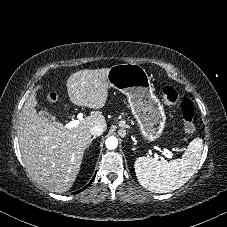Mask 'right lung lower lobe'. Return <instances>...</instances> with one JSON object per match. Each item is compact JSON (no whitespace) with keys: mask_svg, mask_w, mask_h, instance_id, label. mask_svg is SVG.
I'll list each match as a JSON object with an SVG mask.
<instances>
[{"mask_svg":"<svg viewBox=\"0 0 227 227\" xmlns=\"http://www.w3.org/2000/svg\"><path fill=\"white\" fill-rule=\"evenodd\" d=\"M94 180V178L92 179V181ZM80 191H82V190H80ZM80 191H77V192H75V193H78V192H80Z\"/></svg>","mask_w":227,"mask_h":227,"instance_id":"98d812e1","label":"right lung lower lobe"}]
</instances>
